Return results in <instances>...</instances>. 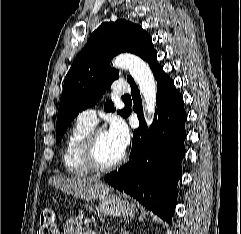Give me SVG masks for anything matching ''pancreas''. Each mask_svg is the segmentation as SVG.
<instances>
[{
  "mask_svg": "<svg viewBox=\"0 0 241 234\" xmlns=\"http://www.w3.org/2000/svg\"><path fill=\"white\" fill-rule=\"evenodd\" d=\"M86 234H95V233H93V232L89 231V232H87Z\"/></svg>",
  "mask_w": 241,
  "mask_h": 234,
  "instance_id": "pancreas-1",
  "label": "pancreas"
}]
</instances>
